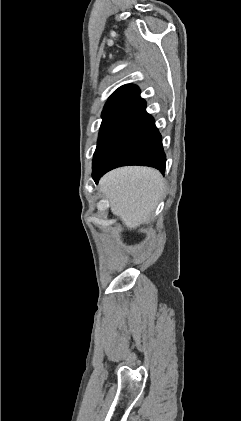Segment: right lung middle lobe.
Here are the masks:
<instances>
[{
	"label": "right lung middle lobe",
	"instance_id": "obj_1",
	"mask_svg": "<svg viewBox=\"0 0 241 421\" xmlns=\"http://www.w3.org/2000/svg\"><path fill=\"white\" fill-rule=\"evenodd\" d=\"M131 109V105H126L103 110V121L99 132L97 148L93 157V166L98 162L110 143L116 137Z\"/></svg>",
	"mask_w": 241,
	"mask_h": 421
}]
</instances>
